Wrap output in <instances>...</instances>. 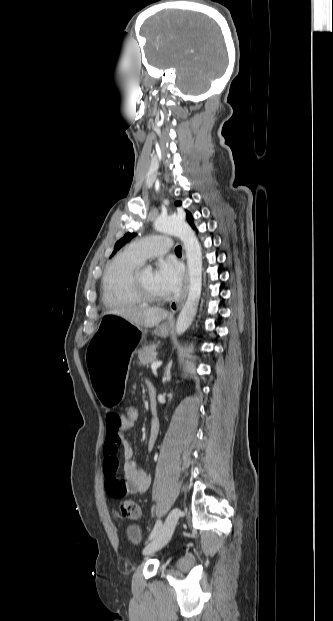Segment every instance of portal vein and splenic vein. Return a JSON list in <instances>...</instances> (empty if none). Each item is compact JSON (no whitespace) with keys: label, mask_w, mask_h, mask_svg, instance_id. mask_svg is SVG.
<instances>
[{"label":"portal vein and splenic vein","mask_w":333,"mask_h":621,"mask_svg":"<svg viewBox=\"0 0 333 621\" xmlns=\"http://www.w3.org/2000/svg\"><path fill=\"white\" fill-rule=\"evenodd\" d=\"M162 365V361H154L151 363V369L156 370L158 367Z\"/></svg>","instance_id":"obj_1"}]
</instances>
